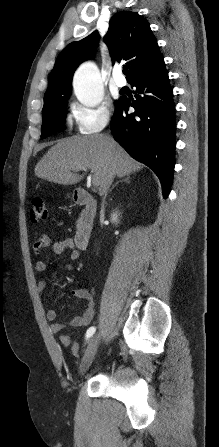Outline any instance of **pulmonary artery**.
Segmentation results:
<instances>
[{"label":"pulmonary artery","instance_id":"obj_1","mask_svg":"<svg viewBox=\"0 0 219 447\" xmlns=\"http://www.w3.org/2000/svg\"><path fill=\"white\" fill-rule=\"evenodd\" d=\"M114 83L117 87L122 88L126 85L125 78L121 75V69L116 68L114 71Z\"/></svg>","mask_w":219,"mask_h":447}]
</instances>
